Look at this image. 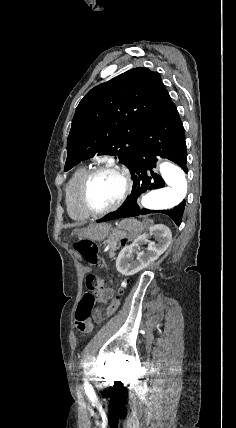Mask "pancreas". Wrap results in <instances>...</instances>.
I'll list each match as a JSON object with an SVG mask.
<instances>
[{"label":"pancreas","instance_id":"1","mask_svg":"<svg viewBox=\"0 0 236 428\" xmlns=\"http://www.w3.org/2000/svg\"><path fill=\"white\" fill-rule=\"evenodd\" d=\"M117 242H119V240H113L111 244V250L109 252V258H114L115 252L117 250Z\"/></svg>","mask_w":236,"mask_h":428}]
</instances>
